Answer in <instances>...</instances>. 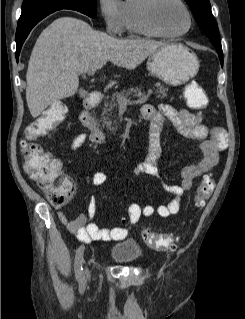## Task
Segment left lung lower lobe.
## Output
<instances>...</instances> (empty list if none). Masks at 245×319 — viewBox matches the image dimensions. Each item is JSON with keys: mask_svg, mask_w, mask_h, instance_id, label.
<instances>
[{"mask_svg": "<svg viewBox=\"0 0 245 319\" xmlns=\"http://www.w3.org/2000/svg\"><path fill=\"white\" fill-rule=\"evenodd\" d=\"M216 50H217L218 55H219L220 63L223 66V52H222V49L216 48Z\"/></svg>", "mask_w": 245, "mask_h": 319, "instance_id": "left-lung-lower-lobe-1", "label": "left lung lower lobe"}]
</instances>
